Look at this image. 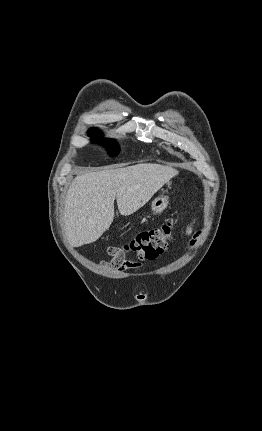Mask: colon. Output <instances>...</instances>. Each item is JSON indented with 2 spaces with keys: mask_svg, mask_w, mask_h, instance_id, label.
I'll return each mask as SVG.
<instances>
[{
  "mask_svg": "<svg viewBox=\"0 0 262 431\" xmlns=\"http://www.w3.org/2000/svg\"><path fill=\"white\" fill-rule=\"evenodd\" d=\"M175 225L172 221L158 228L139 233L135 238L126 243L124 247L109 246L107 252L118 261L126 264H134L138 261H149L163 254L168 245L174 239ZM124 252H131L133 259H125Z\"/></svg>",
  "mask_w": 262,
  "mask_h": 431,
  "instance_id": "obj_1",
  "label": "colon"
}]
</instances>
